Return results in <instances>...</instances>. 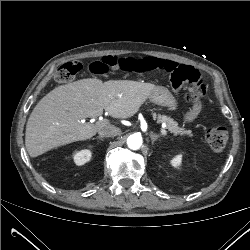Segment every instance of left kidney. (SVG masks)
<instances>
[{
	"label": "left kidney",
	"mask_w": 250,
	"mask_h": 250,
	"mask_svg": "<svg viewBox=\"0 0 250 250\" xmlns=\"http://www.w3.org/2000/svg\"><path fill=\"white\" fill-rule=\"evenodd\" d=\"M181 163H182V155H181V154L175 156V157L171 160L172 166L175 167V168H178V169L180 168Z\"/></svg>",
	"instance_id": "1"
}]
</instances>
